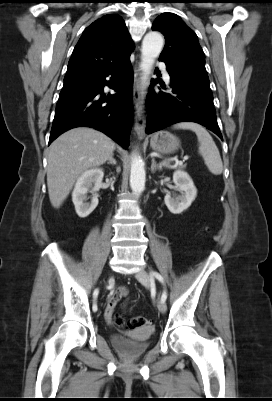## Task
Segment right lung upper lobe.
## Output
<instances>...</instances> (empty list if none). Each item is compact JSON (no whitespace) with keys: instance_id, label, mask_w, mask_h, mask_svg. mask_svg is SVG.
Instances as JSON below:
<instances>
[{"instance_id":"1","label":"right lung upper lobe","mask_w":272,"mask_h":401,"mask_svg":"<svg viewBox=\"0 0 272 401\" xmlns=\"http://www.w3.org/2000/svg\"><path fill=\"white\" fill-rule=\"evenodd\" d=\"M134 48L122 17L105 15L88 26L68 63L63 88L98 77L129 57Z\"/></svg>"}]
</instances>
